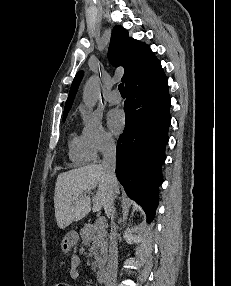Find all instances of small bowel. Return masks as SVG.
I'll use <instances>...</instances> for the list:
<instances>
[{
  "instance_id": "c3829d8e",
  "label": "small bowel",
  "mask_w": 231,
  "mask_h": 286,
  "mask_svg": "<svg viewBox=\"0 0 231 286\" xmlns=\"http://www.w3.org/2000/svg\"><path fill=\"white\" fill-rule=\"evenodd\" d=\"M79 266H80V258L77 255H73L70 260V276L73 279H77L80 276Z\"/></svg>"
}]
</instances>
